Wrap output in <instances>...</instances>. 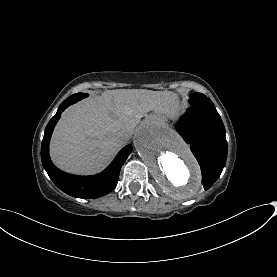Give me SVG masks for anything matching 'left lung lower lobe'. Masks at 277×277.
<instances>
[{"mask_svg":"<svg viewBox=\"0 0 277 277\" xmlns=\"http://www.w3.org/2000/svg\"><path fill=\"white\" fill-rule=\"evenodd\" d=\"M177 130L197 159L202 184L209 189L220 176L227 158L225 128L217 111L188 108Z\"/></svg>","mask_w":277,"mask_h":277,"instance_id":"0a47b994","label":"left lung lower lobe"}]
</instances>
